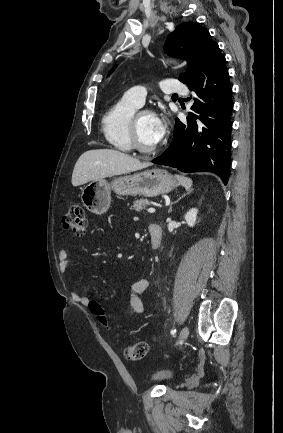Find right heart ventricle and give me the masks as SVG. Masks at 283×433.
<instances>
[{
	"mask_svg": "<svg viewBox=\"0 0 283 433\" xmlns=\"http://www.w3.org/2000/svg\"><path fill=\"white\" fill-rule=\"evenodd\" d=\"M138 107L122 98L107 110L101 119V129L109 144L122 152L131 150L130 124Z\"/></svg>",
	"mask_w": 283,
	"mask_h": 433,
	"instance_id": "right-heart-ventricle-1",
	"label": "right heart ventricle"
}]
</instances>
